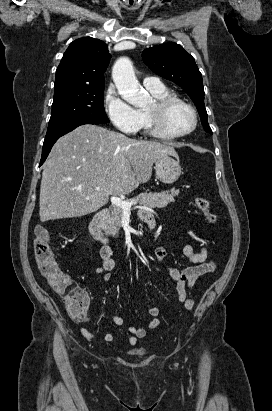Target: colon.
Returning a JSON list of instances; mask_svg holds the SVG:
<instances>
[{"instance_id":"colon-1","label":"colon","mask_w":272,"mask_h":411,"mask_svg":"<svg viewBox=\"0 0 272 411\" xmlns=\"http://www.w3.org/2000/svg\"><path fill=\"white\" fill-rule=\"evenodd\" d=\"M193 204L209 221H215V215L211 212L209 201L205 197L194 198ZM35 234L34 256L38 271L64 301L70 317L74 321H83L90 302L89 295L77 286L66 272L59 268L51 249L49 232L44 227L37 226ZM187 307H190V303L187 304Z\"/></svg>"}]
</instances>
